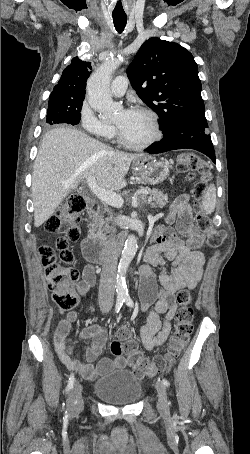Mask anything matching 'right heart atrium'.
<instances>
[{
	"label": "right heart atrium",
	"instance_id": "obj_1",
	"mask_svg": "<svg viewBox=\"0 0 250 454\" xmlns=\"http://www.w3.org/2000/svg\"><path fill=\"white\" fill-rule=\"evenodd\" d=\"M80 122L86 133L97 137H107L114 131L112 125L101 120L90 107L88 100H84L80 108Z\"/></svg>",
	"mask_w": 250,
	"mask_h": 454
}]
</instances>
